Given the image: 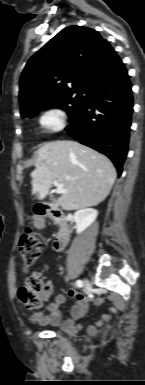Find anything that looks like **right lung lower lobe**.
Instances as JSON below:
<instances>
[{
  "instance_id": "obj_1",
  "label": "right lung lower lobe",
  "mask_w": 145,
  "mask_h": 385,
  "mask_svg": "<svg viewBox=\"0 0 145 385\" xmlns=\"http://www.w3.org/2000/svg\"><path fill=\"white\" fill-rule=\"evenodd\" d=\"M132 113L133 95L125 69L89 91L86 104L66 130L80 143L108 156L121 175L128 152Z\"/></svg>"
}]
</instances>
